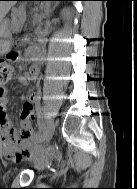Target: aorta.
I'll return each instance as SVG.
<instances>
[{
  "mask_svg": "<svg viewBox=\"0 0 137 189\" xmlns=\"http://www.w3.org/2000/svg\"><path fill=\"white\" fill-rule=\"evenodd\" d=\"M50 2H45L44 7H47Z\"/></svg>",
  "mask_w": 137,
  "mask_h": 189,
  "instance_id": "obj_1",
  "label": "aorta"
}]
</instances>
